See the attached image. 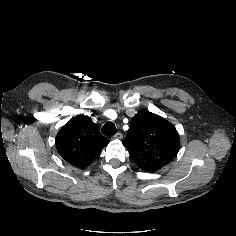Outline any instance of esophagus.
<instances>
[{
    "label": "esophagus",
    "instance_id": "esophagus-1",
    "mask_svg": "<svg viewBox=\"0 0 236 236\" xmlns=\"http://www.w3.org/2000/svg\"><path fill=\"white\" fill-rule=\"evenodd\" d=\"M112 138L113 139L121 140L123 138V135H122V133L117 132Z\"/></svg>",
    "mask_w": 236,
    "mask_h": 236
}]
</instances>
